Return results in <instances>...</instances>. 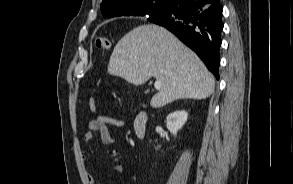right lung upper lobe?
Masks as SVG:
<instances>
[{
	"label": "right lung upper lobe",
	"mask_w": 293,
	"mask_h": 184,
	"mask_svg": "<svg viewBox=\"0 0 293 184\" xmlns=\"http://www.w3.org/2000/svg\"><path fill=\"white\" fill-rule=\"evenodd\" d=\"M172 0H103L101 12L106 18L117 16H142L144 10L159 9L163 13ZM204 6H208L217 0H201ZM148 16V15H147ZM150 20V19H148Z\"/></svg>",
	"instance_id": "cb5924a9"
}]
</instances>
